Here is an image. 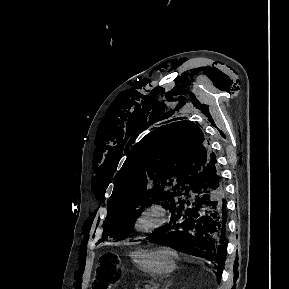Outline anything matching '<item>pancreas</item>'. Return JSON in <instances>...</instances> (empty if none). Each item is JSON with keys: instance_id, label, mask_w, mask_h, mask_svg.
Wrapping results in <instances>:
<instances>
[{"instance_id": "obj_1", "label": "pancreas", "mask_w": 289, "mask_h": 289, "mask_svg": "<svg viewBox=\"0 0 289 289\" xmlns=\"http://www.w3.org/2000/svg\"><path fill=\"white\" fill-rule=\"evenodd\" d=\"M145 289H158V287L155 288V285H154V286L146 285V286H145Z\"/></svg>"}]
</instances>
